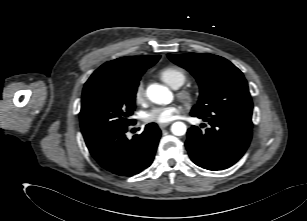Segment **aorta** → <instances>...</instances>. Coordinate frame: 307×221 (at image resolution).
Masks as SVG:
<instances>
[{
  "instance_id": "1",
  "label": "aorta",
  "mask_w": 307,
  "mask_h": 221,
  "mask_svg": "<svg viewBox=\"0 0 307 221\" xmlns=\"http://www.w3.org/2000/svg\"><path fill=\"white\" fill-rule=\"evenodd\" d=\"M147 97L155 104L167 105L172 102L173 94L165 86L152 84L147 88ZM187 127L183 122H175L171 126V132L176 136H182L186 133Z\"/></svg>"
}]
</instances>
